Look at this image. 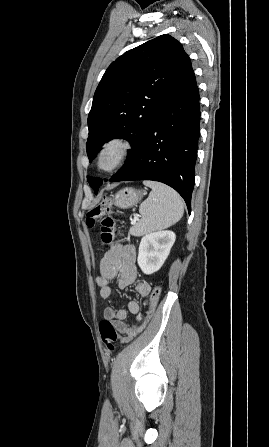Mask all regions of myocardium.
<instances>
[{
	"mask_svg": "<svg viewBox=\"0 0 269 447\" xmlns=\"http://www.w3.org/2000/svg\"><path fill=\"white\" fill-rule=\"evenodd\" d=\"M133 147L132 140L127 137L117 136L109 139L103 144L98 153V168L103 172H112L120 168L129 157ZM106 155H110L112 159L107 166H103L102 161Z\"/></svg>",
	"mask_w": 269,
	"mask_h": 447,
	"instance_id": "f54148a6",
	"label": "myocardium"
}]
</instances>
